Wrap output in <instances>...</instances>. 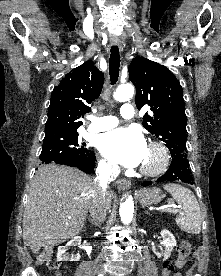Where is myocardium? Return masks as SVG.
<instances>
[{
  "instance_id": "obj_1",
  "label": "myocardium",
  "mask_w": 221,
  "mask_h": 276,
  "mask_svg": "<svg viewBox=\"0 0 221 276\" xmlns=\"http://www.w3.org/2000/svg\"><path fill=\"white\" fill-rule=\"evenodd\" d=\"M148 150L156 155V161L152 165L143 164L140 172L146 176H157L163 173L170 163V153L166 145L160 141H152Z\"/></svg>"
}]
</instances>
